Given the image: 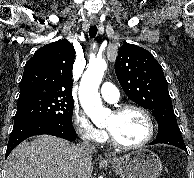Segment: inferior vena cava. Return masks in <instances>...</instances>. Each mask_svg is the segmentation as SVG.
I'll return each mask as SVG.
<instances>
[{
	"label": "inferior vena cava",
	"mask_w": 194,
	"mask_h": 178,
	"mask_svg": "<svg viewBox=\"0 0 194 178\" xmlns=\"http://www.w3.org/2000/svg\"><path fill=\"white\" fill-rule=\"evenodd\" d=\"M81 150H82V153L84 155L90 156L92 153L96 152V147H95V145L91 144L90 142L84 141L81 144Z\"/></svg>",
	"instance_id": "1"
}]
</instances>
